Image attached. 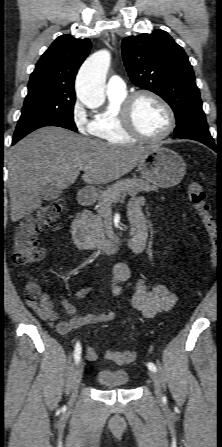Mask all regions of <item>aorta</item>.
Masks as SVG:
<instances>
[{
	"label": "aorta",
	"instance_id": "762f6f07",
	"mask_svg": "<svg viewBox=\"0 0 222 447\" xmlns=\"http://www.w3.org/2000/svg\"><path fill=\"white\" fill-rule=\"evenodd\" d=\"M108 50L91 55L81 66L76 79L77 98L85 106L96 109L105 102L104 83L110 66Z\"/></svg>",
	"mask_w": 222,
	"mask_h": 447
}]
</instances>
